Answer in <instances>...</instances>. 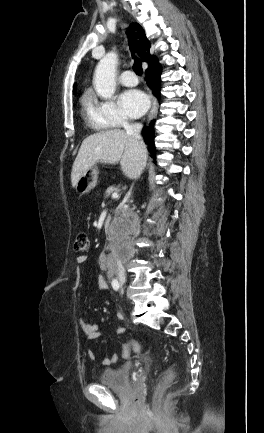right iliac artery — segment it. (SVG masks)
Instances as JSON below:
<instances>
[{"instance_id": "right-iliac-artery-1", "label": "right iliac artery", "mask_w": 264, "mask_h": 433, "mask_svg": "<svg viewBox=\"0 0 264 433\" xmlns=\"http://www.w3.org/2000/svg\"><path fill=\"white\" fill-rule=\"evenodd\" d=\"M111 284H112V287L114 290H116V291L119 290L120 284H119V281L117 279H113Z\"/></svg>"}]
</instances>
